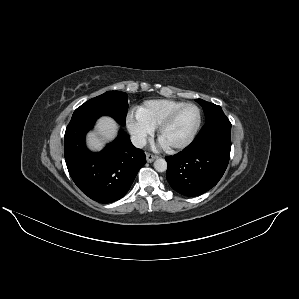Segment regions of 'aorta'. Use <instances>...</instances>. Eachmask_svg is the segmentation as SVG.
<instances>
[{
  "label": "aorta",
  "instance_id": "aorta-1",
  "mask_svg": "<svg viewBox=\"0 0 299 299\" xmlns=\"http://www.w3.org/2000/svg\"><path fill=\"white\" fill-rule=\"evenodd\" d=\"M154 168L158 172H164L167 170V162L164 159H157L154 162Z\"/></svg>",
  "mask_w": 299,
  "mask_h": 299
}]
</instances>
